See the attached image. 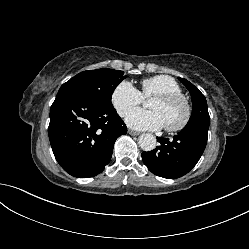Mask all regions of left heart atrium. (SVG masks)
I'll list each match as a JSON object with an SVG mask.
<instances>
[{"instance_id": "obj_1", "label": "left heart atrium", "mask_w": 249, "mask_h": 249, "mask_svg": "<svg viewBox=\"0 0 249 249\" xmlns=\"http://www.w3.org/2000/svg\"><path fill=\"white\" fill-rule=\"evenodd\" d=\"M129 127L136 130H158L164 126L160 114L154 110L133 109L126 117Z\"/></svg>"}]
</instances>
